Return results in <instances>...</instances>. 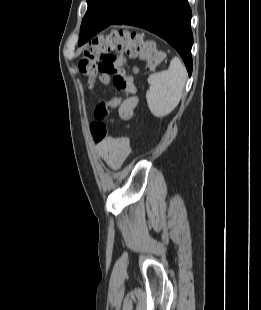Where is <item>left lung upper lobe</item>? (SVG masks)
I'll list each match as a JSON object with an SVG mask.
<instances>
[{"label": "left lung upper lobe", "mask_w": 261, "mask_h": 310, "mask_svg": "<svg viewBox=\"0 0 261 310\" xmlns=\"http://www.w3.org/2000/svg\"><path fill=\"white\" fill-rule=\"evenodd\" d=\"M125 1L87 0L88 9L82 20V25L90 20L109 21L113 19L120 12Z\"/></svg>", "instance_id": "5c2ea615"}]
</instances>
